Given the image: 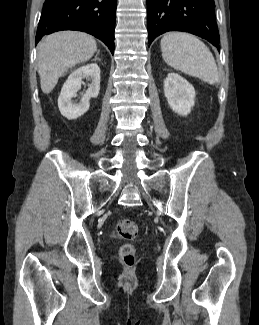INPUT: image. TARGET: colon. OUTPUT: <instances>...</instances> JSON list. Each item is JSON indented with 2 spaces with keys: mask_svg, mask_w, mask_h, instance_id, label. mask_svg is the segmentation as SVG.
Wrapping results in <instances>:
<instances>
[{
  "mask_svg": "<svg viewBox=\"0 0 259 325\" xmlns=\"http://www.w3.org/2000/svg\"><path fill=\"white\" fill-rule=\"evenodd\" d=\"M115 234L124 240H133L138 235L137 224L129 219L121 220L116 225ZM136 248L132 244H123L119 249L120 260L126 265H132L135 261Z\"/></svg>",
  "mask_w": 259,
  "mask_h": 325,
  "instance_id": "obj_1",
  "label": "colon"
}]
</instances>
